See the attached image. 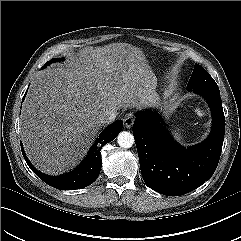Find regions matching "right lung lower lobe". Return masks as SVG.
Segmentation results:
<instances>
[{
  "instance_id": "right-lung-lower-lobe-1",
  "label": "right lung lower lobe",
  "mask_w": 241,
  "mask_h": 241,
  "mask_svg": "<svg viewBox=\"0 0 241 241\" xmlns=\"http://www.w3.org/2000/svg\"><path fill=\"white\" fill-rule=\"evenodd\" d=\"M122 125L123 122L121 120H118L108 126L95 141L88 155L79 165V167L65 175L48 176L38 171L36 168L33 167V165L26 157L21 144L22 154L30 169L48 185L62 190L81 189L92 184L99 176L102 167L100 151L105 144L113 141L116 138V136L122 130Z\"/></svg>"
}]
</instances>
